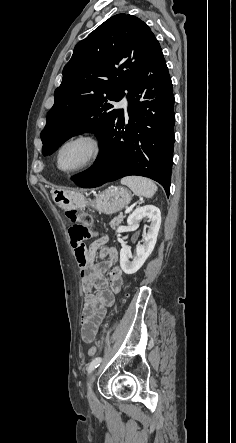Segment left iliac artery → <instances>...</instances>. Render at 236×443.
Instances as JSON below:
<instances>
[{
    "instance_id": "44dca946",
    "label": "left iliac artery",
    "mask_w": 236,
    "mask_h": 443,
    "mask_svg": "<svg viewBox=\"0 0 236 443\" xmlns=\"http://www.w3.org/2000/svg\"><path fill=\"white\" fill-rule=\"evenodd\" d=\"M101 361H102L101 357L94 358L87 368L88 374H90L95 368H97L101 363Z\"/></svg>"
}]
</instances>
